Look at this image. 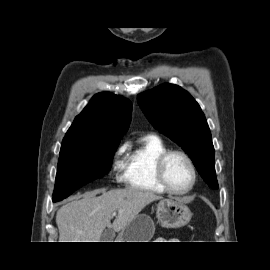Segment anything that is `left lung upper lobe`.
Masks as SVG:
<instances>
[{"instance_id":"left-lung-upper-lobe-1","label":"left lung upper lobe","mask_w":270,"mask_h":270,"mask_svg":"<svg viewBox=\"0 0 270 270\" xmlns=\"http://www.w3.org/2000/svg\"><path fill=\"white\" fill-rule=\"evenodd\" d=\"M137 100L151 124L181 146L204 181L217 189L211 132L195 99L178 85L162 84Z\"/></svg>"}]
</instances>
